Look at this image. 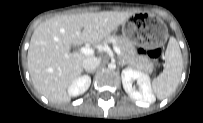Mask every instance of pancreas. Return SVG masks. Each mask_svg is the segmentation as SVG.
Returning a JSON list of instances; mask_svg holds the SVG:
<instances>
[{"label": "pancreas", "instance_id": "pancreas-1", "mask_svg": "<svg viewBox=\"0 0 203 123\" xmlns=\"http://www.w3.org/2000/svg\"><path fill=\"white\" fill-rule=\"evenodd\" d=\"M106 40L112 41L115 46L120 48L121 57L127 62V64L133 65L146 73H152L154 68L153 63L148 59L142 57H135L133 53V44L129 40L121 36L111 35L106 37Z\"/></svg>", "mask_w": 203, "mask_h": 123}]
</instances>
